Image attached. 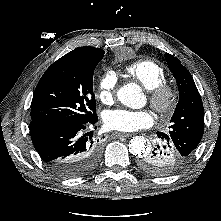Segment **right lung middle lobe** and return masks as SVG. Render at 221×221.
Listing matches in <instances>:
<instances>
[{
	"instance_id": "dd1d6c3e",
	"label": "right lung middle lobe",
	"mask_w": 221,
	"mask_h": 221,
	"mask_svg": "<svg viewBox=\"0 0 221 221\" xmlns=\"http://www.w3.org/2000/svg\"><path fill=\"white\" fill-rule=\"evenodd\" d=\"M104 53L58 59L41 77L31 103V120L83 124L96 118L94 69Z\"/></svg>"
}]
</instances>
